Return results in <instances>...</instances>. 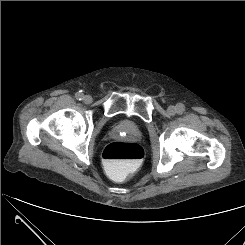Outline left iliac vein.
Here are the masks:
<instances>
[{"mask_svg": "<svg viewBox=\"0 0 245 245\" xmlns=\"http://www.w3.org/2000/svg\"><path fill=\"white\" fill-rule=\"evenodd\" d=\"M167 112L170 114V115H174L176 114L177 112V108L173 105L169 106L168 109H167Z\"/></svg>", "mask_w": 245, "mask_h": 245, "instance_id": "4c4485c4", "label": "left iliac vein"}]
</instances>
